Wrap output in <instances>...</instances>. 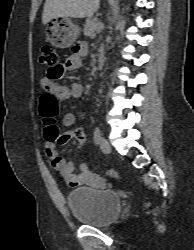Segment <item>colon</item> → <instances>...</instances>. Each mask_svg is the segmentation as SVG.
Instances as JSON below:
<instances>
[{"label":"colon","mask_w":194,"mask_h":250,"mask_svg":"<svg viewBox=\"0 0 194 250\" xmlns=\"http://www.w3.org/2000/svg\"><path fill=\"white\" fill-rule=\"evenodd\" d=\"M40 62L50 68L49 75L51 78L56 79L60 77L59 70V58L55 48L51 45H43L40 52ZM40 111L42 116H48L54 118L58 112V103L56 97L46 92L40 99ZM71 139H74L80 143L83 141V131L74 130L68 133ZM112 177H117V173L114 170L110 171Z\"/></svg>","instance_id":"obj_1"}]
</instances>
